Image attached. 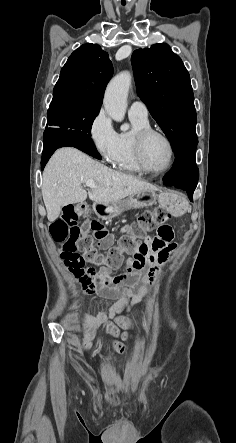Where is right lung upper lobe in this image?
Instances as JSON below:
<instances>
[{"label": "right lung upper lobe", "mask_w": 236, "mask_h": 443, "mask_svg": "<svg viewBox=\"0 0 236 443\" xmlns=\"http://www.w3.org/2000/svg\"><path fill=\"white\" fill-rule=\"evenodd\" d=\"M113 75L108 53L98 44H84L68 58L53 90L51 104L69 103L100 109L104 90Z\"/></svg>", "instance_id": "right-lung-upper-lobe-1"}]
</instances>
